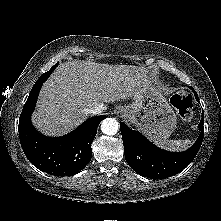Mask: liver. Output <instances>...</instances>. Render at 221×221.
<instances>
[{
    "label": "liver",
    "instance_id": "1",
    "mask_svg": "<svg viewBox=\"0 0 221 221\" xmlns=\"http://www.w3.org/2000/svg\"><path fill=\"white\" fill-rule=\"evenodd\" d=\"M147 71L134 65L72 60L61 64L43 84L33 125L48 136H62L78 127L86 108L140 96L149 85Z\"/></svg>",
    "mask_w": 221,
    "mask_h": 221
}]
</instances>
